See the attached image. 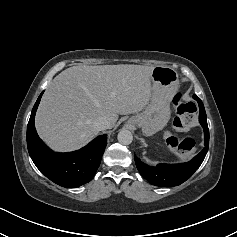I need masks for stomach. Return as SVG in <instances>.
Instances as JSON below:
<instances>
[{
  "mask_svg": "<svg viewBox=\"0 0 237 237\" xmlns=\"http://www.w3.org/2000/svg\"><path fill=\"white\" fill-rule=\"evenodd\" d=\"M152 97L145 110L128 120V124L142 128L146 136L163 129L170 119V101L176 91L178 73L168 66H156L151 74Z\"/></svg>",
  "mask_w": 237,
  "mask_h": 237,
  "instance_id": "stomach-1",
  "label": "stomach"
}]
</instances>
